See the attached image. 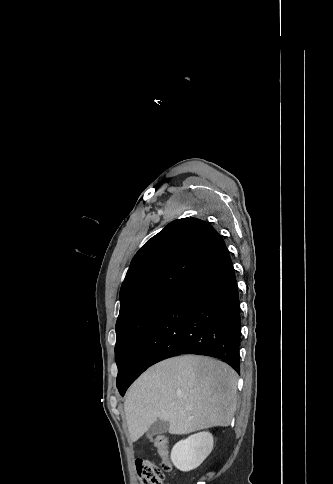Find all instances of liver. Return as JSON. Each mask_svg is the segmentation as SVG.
I'll return each instance as SVG.
<instances>
[{
	"mask_svg": "<svg viewBox=\"0 0 333 484\" xmlns=\"http://www.w3.org/2000/svg\"><path fill=\"white\" fill-rule=\"evenodd\" d=\"M237 375L226 363L185 355L159 362L128 389L124 411L131 441L158 419L170 434L229 426L236 410Z\"/></svg>",
	"mask_w": 333,
	"mask_h": 484,
	"instance_id": "obj_1",
	"label": "liver"
}]
</instances>
